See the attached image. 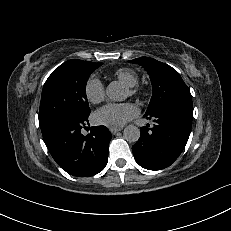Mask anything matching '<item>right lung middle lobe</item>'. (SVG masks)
I'll return each mask as SVG.
<instances>
[{
	"mask_svg": "<svg viewBox=\"0 0 231 231\" xmlns=\"http://www.w3.org/2000/svg\"><path fill=\"white\" fill-rule=\"evenodd\" d=\"M101 65L102 63L73 59L51 73L43 86L41 96V131L64 118L89 116L86 83L90 74Z\"/></svg>",
	"mask_w": 231,
	"mask_h": 231,
	"instance_id": "right-lung-middle-lobe-1",
	"label": "right lung middle lobe"
}]
</instances>
